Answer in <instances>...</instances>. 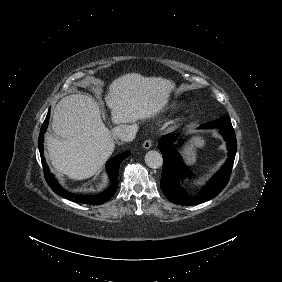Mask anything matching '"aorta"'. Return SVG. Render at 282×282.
Masks as SVG:
<instances>
[{
  "instance_id": "762f6f07",
  "label": "aorta",
  "mask_w": 282,
  "mask_h": 282,
  "mask_svg": "<svg viewBox=\"0 0 282 282\" xmlns=\"http://www.w3.org/2000/svg\"><path fill=\"white\" fill-rule=\"evenodd\" d=\"M144 160L146 165L151 168H159L163 163L161 154L156 150L148 151L144 156Z\"/></svg>"
}]
</instances>
